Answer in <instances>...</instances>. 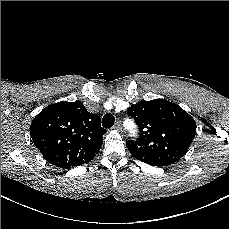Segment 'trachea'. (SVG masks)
Segmentation results:
<instances>
[{"label":"trachea","instance_id":"trachea-1","mask_svg":"<svg viewBox=\"0 0 229 229\" xmlns=\"http://www.w3.org/2000/svg\"><path fill=\"white\" fill-rule=\"evenodd\" d=\"M115 117L111 113H106L102 119V125L104 128H111L114 125Z\"/></svg>","mask_w":229,"mask_h":229}]
</instances>
